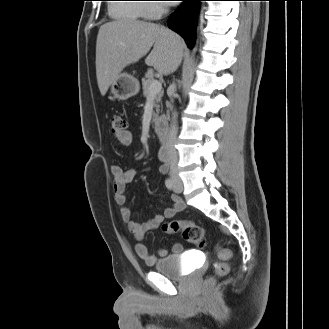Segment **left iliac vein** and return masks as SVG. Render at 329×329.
I'll use <instances>...</instances> for the list:
<instances>
[{"mask_svg":"<svg viewBox=\"0 0 329 329\" xmlns=\"http://www.w3.org/2000/svg\"><path fill=\"white\" fill-rule=\"evenodd\" d=\"M173 190L176 193H180L182 191V184H181L180 181L175 180V182H174V189Z\"/></svg>","mask_w":329,"mask_h":329,"instance_id":"4c4485c4","label":"left iliac vein"}]
</instances>
